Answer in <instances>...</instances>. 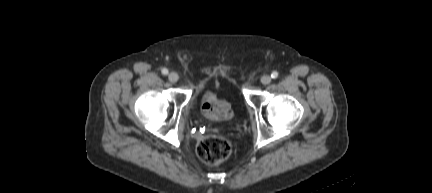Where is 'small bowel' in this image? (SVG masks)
<instances>
[{"mask_svg": "<svg viewBox=\"0 0 432 193\" xmlns=\"http://www.w3.org/2000/svg\"><path fill=\"white\" fill-rule=\"evenodd\" d=\"M202 113L209 120H224L231 116L228 104L209 91L202 97Z\"/></svg>", "mask_w": 432, "mask_h": 193, "instance_id": "1", "label": "small bowel"}]
</instances>
